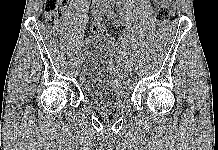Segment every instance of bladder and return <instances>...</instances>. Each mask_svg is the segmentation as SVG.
Instances as JSON below:
<instances>
[{"instance_id": "31cf9c89", "label": "bladder", "mask_w": 218, "mask_h": 150, "mask_svg": "<svg viewBox=\"0 0 218 150\" xmlns=\"http://www.w3.org/2000/svg\"><path fill=\"white\" fill-rule=\"evenodd\" d=\"M110 41L96 38L87 47L79 82L84 96L100 107L123 108L131 89Z\"/></svg>"}]
</instances>
